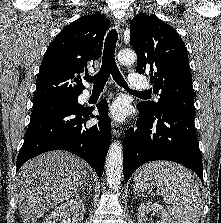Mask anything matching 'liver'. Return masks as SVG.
<instances>
[{"label": "liver", "mask_w": 221, "mask_h": 223, "mask_svg": "<svg viewBox=\"0 0 221 223\" xmlns=\"http://www.w3.org/2000/svg\"><path fill=\"white\" fill-rule=\"evenodd\" d=\"M87 179L85 162L68 152L50 151L26 162L15 178V197L23 223L76 195Z\"/></svg>", "instance_id": "1"}]
</instances>
